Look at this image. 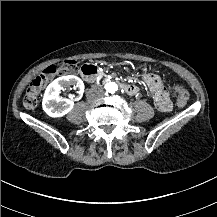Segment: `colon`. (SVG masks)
<instances>
[{
    "label": "colon",
    "mask_w": 217,
    "mask_h": 217,
    "mask_svg": "<svg viewBox=\"0 0 217 217\" xmlns=\"http://www.w3.org/2000/svg\"><path fill=\"white\" fill-rule=\"evenodd\" d=\"M78 69L79 65L77 61L70 59L65 62L64 66H53L49 68L47 72L33 79L27 87L23 97L24 107L27 109H34L37 106L38 94L42 88L47 89L51 87L56 80L66 78L67 74L73 75L77 73ZM171 89L177 97L176 104L178 106H184L188 103L189 91L183 84L179 82L172 83Z\"/></svg>",
    "instance_id": "5ec220e1"
}]
</instances>
